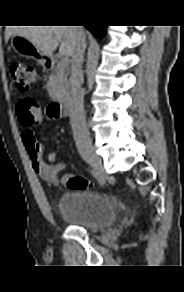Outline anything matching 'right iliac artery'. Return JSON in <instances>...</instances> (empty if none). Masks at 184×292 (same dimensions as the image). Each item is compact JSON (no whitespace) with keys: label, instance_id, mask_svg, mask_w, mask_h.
Masks as SVG:
<instances>
[{"label":"right iliac artery","instance_id":"1","mask_svg":"<svg viewBox=\"0 0 184 292\" xmlns=\"http://www.w3.org/2000/svg\"><path fill=\"white\" fill-rule=\"evenodd\" d=\"M91 172H92V174H93V176L101 183V182H103V178H102V176L98 173V172H96V171H94V170H91Z\"/></svg>","mask_w":184,"mask_h":292}]
</instances>
